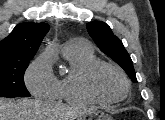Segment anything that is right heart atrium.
Returning a JSON list of instances; mask_svg holds the SVG:
<instances>
[{
  "instance_id": "obj_1",
  "label": "right heart atrium",
  "mask_w": 165,
  "mask_h": 120,
  "mask_svg": "<svg viewBox=\"0 0 165 120\" xmlns=\"http://www.w3.org/2000/svg\"><path fill=\"white\" fill-rule=\"evenodd\" d=\"M25 83L29 91L36 97L54 98L58 80L53 74L47 55L38 56L28 67Z\"/></svg>"
}]
</instances>
